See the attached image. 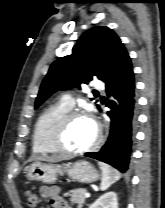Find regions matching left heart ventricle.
Wrapping results in <instances>:
<instances>
[{
    "label": "left heart ventricle",
    "instance_id": "1",
    "mask_svg": "<svg viewBox=\"0 0 165 208\" xmlns=\"http://www.w3.org/2000/svg\"><path fill=\"white\" fill-rule=\"evenodd\" d=\"M95 133V125L89 118L77 117L64 131L62 142L69 149L86 148L94 141Z\"/></svg>",
    "mask_w": 165,
    "mask_h": 208
}]
</instances>
